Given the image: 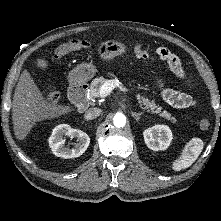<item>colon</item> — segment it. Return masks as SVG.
<instances>
[{
	"instance_id": "1",
	"label": "colon",
	"mask_w": 221,
	"mask_h": 221,
	"mask_svg": "<svg viewBox=\"0 0 221 221\" xmlns=\"http://www.w3.org/2000/svg\"><path fill=\"white\" fill-rule=\"evenodd\" d=\"M94 45V43L89 41L72 39L58 46L54 51L53 57L55 60H60L71 52L90 49L94 47ZM132 50L133 53L139 58H147L151 53V48L145 45H134L132 47ZM163 60L168 62L169 58L166 55H163ZM47 97L49 102L54 103L57 101L59 95L56 91L51 90L49 91ZM199 126L202 130H209L211 128V121L208 118L204 117L200 120Z\"/></svg>"
}]
</instances>
